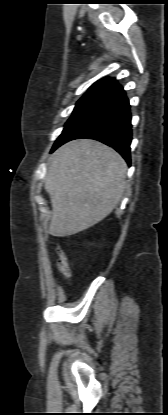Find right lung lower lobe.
Listing matches in <instances>:
<instances>
[{"label":"right lung lower lobe","mask_w":168,"mask_h":415,"mask_svg":"<svg viewBox=\"0 0 168 415\" xmlns=\"http://www.w3.org/2000/svg\"><path fill=\"white\" fill-rule=\"evenodd\" d=\"M80 138L95 139L111 146L130 165L131 113L121 85L114 84L73 115L51 152L70 140Z\"/></svg>","instance_id":"right-lung-lower-lobe-1"}]
</instances>
